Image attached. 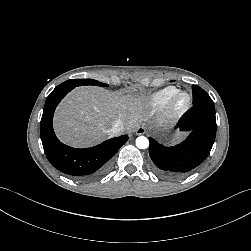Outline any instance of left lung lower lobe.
<instances>
[{
  "instance_id": "obj_1",
  "label": "left lung lower lobe",
  "mask_w": 251,
  "mask_h": 251,
  "mask_svg": "<svg viewBox=\"0 0 251 251\" xmlns=\"http://www.w3.org/2000/svg\"><path fill=\"white\" fill-rule=\"evenodd\" d=\"M180 131L189 136L182 143L166 147L149 138V154L155 171L168 178H179L199 166L209 155L216 136L214 106L193 105Z\"/></svg>"
}]
</instances>
